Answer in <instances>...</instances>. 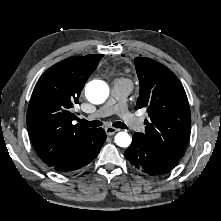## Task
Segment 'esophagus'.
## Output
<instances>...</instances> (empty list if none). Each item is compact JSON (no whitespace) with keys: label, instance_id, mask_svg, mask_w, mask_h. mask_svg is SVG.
<instances>
[{"label":"esophagus","instance_id":"obj_1","mask_svg":"<svg viewBox=\"0 0 221 221\" xmlns=\"http://www.w3.org/2000/svg\"><path fill=\"white\" fill-rule=\"evenodd\" d=\"M105 132L107 135H114L117 132V129L113 127H106Z\"/></svg>","mask_w":221,"mask_h":221}]
</instances>
